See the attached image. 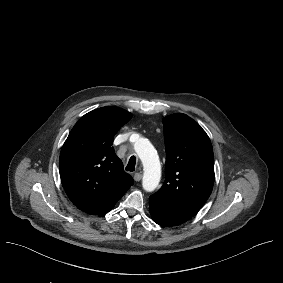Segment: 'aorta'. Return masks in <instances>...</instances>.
<instances>
[{"label": "aorta", "mask_w": 283, "mask_h": 283, "mask_svg": "<svg viewBox=\"0 0 283 283\" xmlns=\"http://www.w3.org/2000/svg\"><path fill=\"white\" fill-rule=\"evenodd\" d=\"M134 149L144 167L142 185L144 190H155L161 178V165L157 151L146 138L135 135Z\"/></svg>", "instance_id": "1"}]
</instances>
